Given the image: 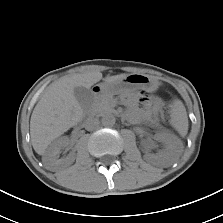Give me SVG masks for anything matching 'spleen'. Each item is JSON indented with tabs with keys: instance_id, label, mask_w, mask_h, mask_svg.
<instances>
[{
	"instance_id": "1",
	"label": "spleen",
	"mask_w": 223,
	"mask_h": 223,
	"mask_svg": "<svg viewBox=\"0 0 223 223\" xmlns=\"http://www.w3.org/2000/svg\"><path fill=\"white\" fill-rule=\"evenodd\" d=\"M173 122L180 134H185L188 129V118L186 109L180 100L173 103Z\"/></svg>"
}]
</instances>
